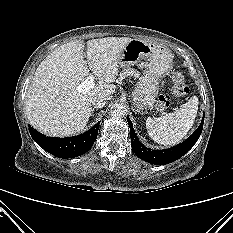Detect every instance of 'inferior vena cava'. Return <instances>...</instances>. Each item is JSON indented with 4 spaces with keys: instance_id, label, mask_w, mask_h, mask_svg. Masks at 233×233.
I'll use <instances>...</instances> for the list:
<instances>
[{
    "instance_id": "obj_1",
    "label": "inferior vena cava",
    "mask_w": 233,
    "mask_h": 233,
    "mask_svg": "<svg viewBox=\"0 0 233 233\" xmlns=\"http://www.w3.org/2000/svg\"><path fill=\"white\" fill-rule=\"evenodd\" d=\"M95 108H102L106 104V98L103 96H96L91 101Z\"/></svg>"
}]
</instances>
